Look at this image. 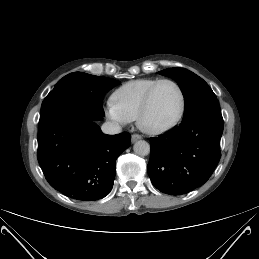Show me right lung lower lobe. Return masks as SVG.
I'll use <instances>...</instances> for the list:
<instances>
[{"instance_id":"1","label":"right lung lower lobe","mask_w":259,"mask_h":259,"mask_svg":"<svg viewBox=\"0 0 259 259\" xmlns=\"http://www.w3.org/2000/svg\"><path fill=\"white\" fill-rule=\"evenodd\" d=\"M95 122L63 116L39 125L37 158L47 181L80 201L111 191L116 159L130 146L129 133L106 135Z\"/></svg>"}]
</instances>
